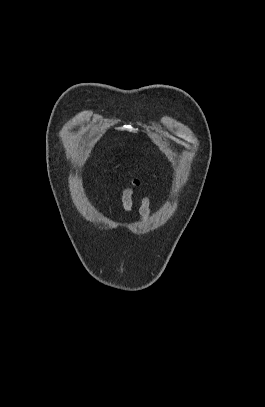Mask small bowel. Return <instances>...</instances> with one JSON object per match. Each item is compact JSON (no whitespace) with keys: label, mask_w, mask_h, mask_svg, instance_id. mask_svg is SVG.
<instances>
[{"label":"small bowel","mask_w":265,"mask_h":407,"mask_svg":"<svg viewBox=\"0 0 265 407\" xmlns=\"http://www.w3.org/2000/svg\"><path fill=\"white\" fill-rule=\"evenodd\" d=\"M135 196V191L133 188H126L122 193V205L124 212L128 213L132 209L133 205V198ZM150 199L148 197H144L141 200V205L139 207V215L142 221H146L150 216Z\"/></svg>","instance_id":"obj_1"}]
</instances>
